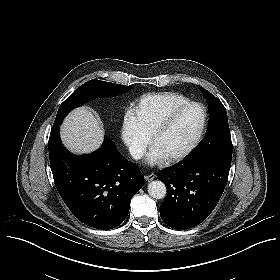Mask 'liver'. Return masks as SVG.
I'll return each mask as SVG.
<instances>
[{"label":"liver","mask_w":280,"mask_h":280,"mask_svg":"<svg viewBox=\"0 0 280 280\" xmlns=\"http://www.w3.org/2000/svg\"><path fill=\"white\" fill-rule=\"evenodd\" d=\"M64 146L74 154H89L103 143L104 129L96 115L82 106L71 111L60 126Z\"/></svg>","instance_id":"obj_1"}]
</instances>
